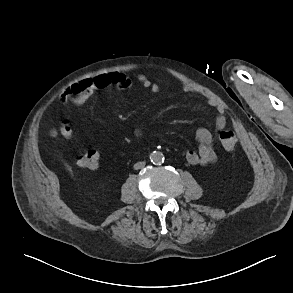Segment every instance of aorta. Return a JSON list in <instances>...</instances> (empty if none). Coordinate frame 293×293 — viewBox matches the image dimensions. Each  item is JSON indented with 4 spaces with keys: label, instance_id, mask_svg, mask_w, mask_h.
I'll return each mask as SVG.
<instances>
[{
    "label": "aorta",
    "instance_id": "aorta-1",
    "mask_svg": "<svg viewBox=\"0 0 293 293\" xmlns=\"http://www.w3.org/2000/svg\"><path fill=\"white\" fill-rule=\"evenodd\" d=\"M149 159L153 164H160L164 161V156L161 152L159 151H153L149 155Z\"/></svg>",
    "mask_w": 293,
    "mask_h": 293
}]
</instances>
